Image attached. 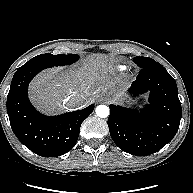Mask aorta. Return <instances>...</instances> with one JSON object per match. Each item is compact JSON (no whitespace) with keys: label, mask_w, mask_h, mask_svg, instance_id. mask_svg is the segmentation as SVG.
Segmentation results:
<instances>
[{"label":"aorta","mask_w":193,"mask_h":193,"mask_svg":"<svg viewBox=\"0 0 193 193\" xmlns=\"http://www.w3.org/2000/svg\"><path fill=\"white\" fill-rule=\"evenodd\" d=\"M96 115L100 118H106L109 116L110 110L106 105H98L96 107Z\"/></svg>","instance_id":"aorta-1"}]
</instances>
